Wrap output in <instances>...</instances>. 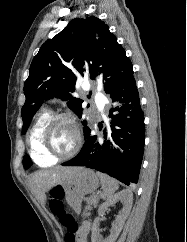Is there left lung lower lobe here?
Listing matches in <instances>:
<instances>
[{
	"instance_id": "left-lung-lower-lobe-1",
	"label": "left lung lower lobe",
	"mask_w": 187,
	"mask_h": 242,
	"mask_svg": "<svg viewBox=\"0 0 187 242\" xmlns=\"http://www.w3.org/2000/svg\"><path fill=\"white\" fill-rule=\"evenodd\" d=\"M110 97L115 107L110 109L111 122L104 136L98 138L89 130L79 154L62 165L96 169L130 185L138 182L145 140L144 113L134 76Z\"/></svg>"
}]
</instances>
